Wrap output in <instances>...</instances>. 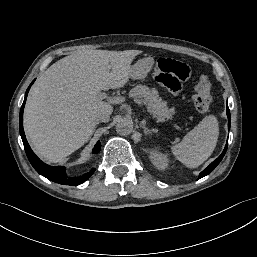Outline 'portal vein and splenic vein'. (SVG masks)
Returning a JSON list of instances; mask_svg holds the SVG:
<instances>
[{
  "label": "portal vein and splenic vein",
  "mask_w": 257,
  "mask_h": 257,
  "mask_svg": "<svg viewBox=\"0 0 257 257\" xmlns=\"http://www.w3.org/2000/svg\"><path fill=\"white\" fill-rule=\"evenodd\" d=\"M99 96H100L101 99L108 98L107 94L104 93V92L100 93ZM108 100L112 104H120L124 101V98L123 97H110V98H108Z\"/></svg>",
  "instance_id": "obj_1"
}]
</instances>
